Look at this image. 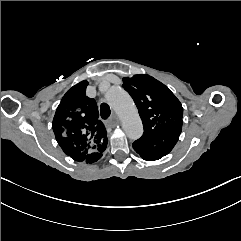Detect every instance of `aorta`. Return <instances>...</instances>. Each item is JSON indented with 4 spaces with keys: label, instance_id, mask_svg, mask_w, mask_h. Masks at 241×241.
<instances>
[{
    "label": "aorta",
    "instance_id": "1",
    "mask_svg": "<svg viewBox=\"0 0 241 241\" xmlns=\"http://www.w3.org/2000/svg\"><path fill=\"white\" fill-rule=\"evenodd\" d=\"M106 100L120 117L127 136L132 140L139 139L143 134V125L130 95L121 87H115L107 91Z\"/></svg>",
    "mask_w": 241,
    "mask_h": 241
}]
</instances>
